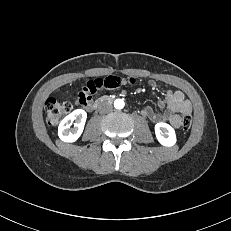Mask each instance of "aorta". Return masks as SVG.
Segmentation results:
<instances>
[{"label":"aorta","instance_id":"aorta-1","mask_svg":"<svg viewBox=\"0 0 231 231\" xmlns=\"http://www.w3.org/2000/svg\"><path fill=\"white\" fill-rule=\"evenodd\" d=\"M124 105H125V103H124V101L122 99H116L114 101V107L116 109H122V108H124Z\"/></svg>","mask_w":231,"mask_h":231}]
</instances>
